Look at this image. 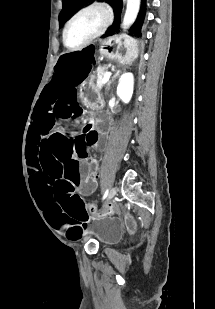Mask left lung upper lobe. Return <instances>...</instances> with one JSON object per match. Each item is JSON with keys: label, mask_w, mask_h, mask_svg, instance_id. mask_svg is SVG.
<instances>
[{"label": "left lung upper lobe", "mask_w": 215, "mask_h": 309, "mask_svg": "<svg viewBox=\"0 0 215 309\" xmlns=\"http://www.w3.org/2000/svg\"><path fill=\"white\" fill-rule=\"evenodd\" d=\"M89 1L91 0H63V10L59 16L60 26L62 27L64 23L71 17V15L76 10H78L82 5L86 4ZM106 1L110 2V4L114 8L115 22L111 26V28L108 30V32L105 33L104 37L113 35L115 32L119 31L120 16H121L122 7H123L122 0H106ZM145 13H146V0H142L141 10L138 15V18L129 30L131 35L137 36V37H140L142 35L141 27L143 25Z\"/></svg>", "instance_id": "obj_1"}]
</instances>
